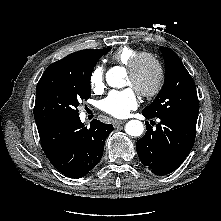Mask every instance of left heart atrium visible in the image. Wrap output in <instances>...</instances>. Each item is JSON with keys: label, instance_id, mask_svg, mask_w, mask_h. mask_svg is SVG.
Here are the masks:
<instances>
[{"label": "left heart atrium", "instance_id": "obj_1", "mask_svg": "<svg viewBox=\"0 0 221 221\" xmlns=\"http://www.w3.org/2000/svg\"><path fill=\"white\" fill-rule=\"evenodd\" d=\"M138 105L134 89L126 88L121 91H111L102 101L101 109L116 118H124Z\"/></svg>", "mask_w": 221, "mask_h": 221}]
</instances>
